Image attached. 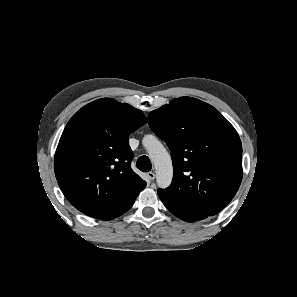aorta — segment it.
I'll use <instances>...</instances> for the list:
<instances>
[{
  "label": "aorta",
  "instance_id": "aorta-1",
  "mask_svg": "<svg viewBox=\"0 0 297 297\" xmlns=\"http://www.w3.org/2000/svg\"><path fill=\"white\" fill-rule=\"evenodd\" d=\"M142 142L155 167L158 186L167 188L171 184L173 177V166L170 155L163 144L153 135H146Z\"/></svg>",
  "mask_w": 297,
  "mask_h": 297
}]
</instances>
